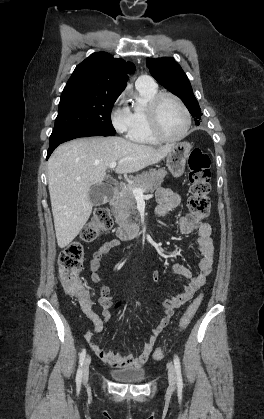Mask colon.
Here are the masks:
<instances>
[{
  "instance_id": "5ec220e1",
  "label": "colon",
  "mask_w": 264,
  "mask_h": 419,
  "mask_svg": "<svg viewBox=\"0 0 264 419\" xmlns=\"http://www.w3.org/2000/svg\"><path fill=\"white\" fill-rule=\"evenodd\" d=\"M188 179L190 183V197L188 199L190 224L197 225L199 220L206 217L210 210L208 194L210 192V160L206 153L194 149L188 158ZM113 226V220L105 209L97 210L85 226L82 237L85 241L98 239ZM84 260L83 246L73 242L63 249L59 255V276L65 292L79 298L81 305L91 306L90 296L83 284L79 273ZM202 301V295L196 297L182 316L179 324L184 330L190 324ZM165 356V349L158 348L154 352V359L161 360Z\"/></svg>"
}]
</instances>
